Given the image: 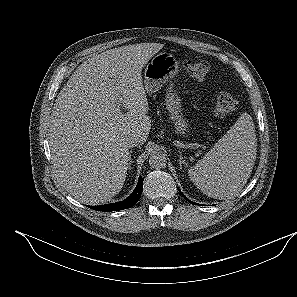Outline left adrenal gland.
<instances>
[{"mask_svg": "<svg viewBox=\"0 0 297 297\" xmlns=\"http://www.w3.org/2000/svg\"><path fill=\"white\" fill-rule=\"evenodd\" d=\"M179 165H180V169H182V165L185 164L186 165V162L185 160L183 159V156H182V153L179 151Z\"/></svg>", "mask_w": 297, "mask_h": 297, "instance_id": "a2214340", "label": "left adrenal gland"}]
</instances>
